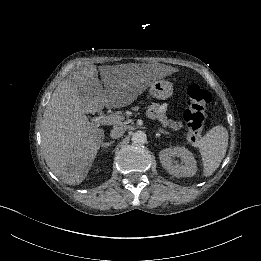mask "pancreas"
Returning <instances> with one entry per match:
<instances>
[{"instance_id": "cf45deb5", "label": "pancreas", "mask_w": 261, "mask_h": 261, "mask_svg": "<svg viewBox=\"0 0 261 261\" xmlns=\"http://www.w3.org/2000/svg\"><path fill=\"white\" fill-rule=\"evenodd\" d=\"M156 111L153 112L155 118L153 120H159L163 127H169L173 131H177L183 128L184 124L181 121H174L167 118L166 106H159L158 104H153Z\"/></svg>"}]
</instances>
